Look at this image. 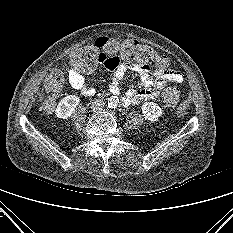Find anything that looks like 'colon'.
I'll list each match as a JSON object with an SVG mask.
<instances>
[{
  "instance_id": "1",
  "label": "colon",
  "mask_w": 233,
  "mask_h": 233,
  "mask_svg": "<svg viewBox=\"0 0 233 233\" xmlns=\"http://www.w3.org/2000/svg\"><path fill=\"white\" fill-rule=\"evenodd\" d=\"M121 57L128 64H140L155 66L158 69H166L169 61L166 56L154 51L150 46L139 43L133 39H119L115 37H102L93 45L83 46L72 53L70 65L83 71H91L99 62L108 57ZM65 82V73L62 68H54L45 79L44 86L49 92H56L62 88ZM180 92L175 87L166 88L162 93V101L165 107L177 105ZM56 102L55 95H49L42 101V110L50 113Z\"/></svg>"
}]
</instances>
